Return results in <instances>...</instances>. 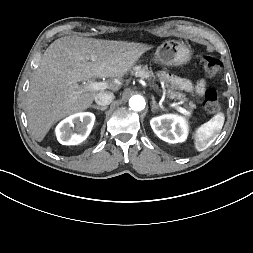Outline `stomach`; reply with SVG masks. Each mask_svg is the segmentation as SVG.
Here are the masks:
<instances>
[{
	"label": "stomach",
	"instance_id": "1",
	"mask_svg": "<svg viewBox=\"0 0 253 253\" xmlns=\"http://www.w3.org/2000/svg\"><path fill=\"white\" fill-rule=\"evenodd\" d=\"M190 48L181 41L169 40L161 44L156 51L157 60L166 66H181L191 60Z\"/></svg>",
	"mask_w": 253,
	"mask_h": 253
}]
</instances>
